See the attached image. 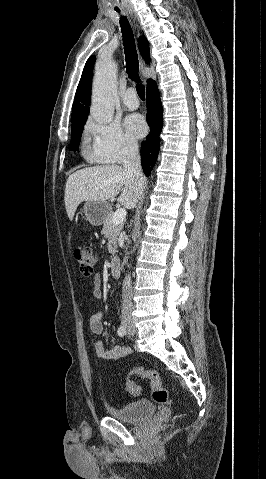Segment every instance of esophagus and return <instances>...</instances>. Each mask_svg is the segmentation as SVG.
<instances>
[{
  "label": "esophagus",
  "mask_w": 266,
  "mask_h": 479,
  "mask_svg": "<svg viewBox=\"0 0 266 479\" xmlns=\"http://www.w3.org/2000/svg\"><path fill=\"white\" fill-rule=\"evenodd\" d=\"M140 67H141V69L146 67V63L142 58L140 59Z\"/></svg>",
  "instance_id": "esophagus-1"
}]
</instances>
